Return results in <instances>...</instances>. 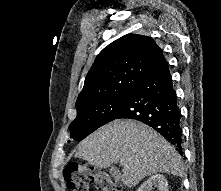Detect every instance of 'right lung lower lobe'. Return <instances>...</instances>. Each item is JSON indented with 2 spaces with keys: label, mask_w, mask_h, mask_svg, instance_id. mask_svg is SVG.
Here are the masks:
<instances>
[{
  "label": "right lung lower lobe",
  "mask_w": 221,
  "mask_h": 191,
  "mask_svg": "<svg viewBox=\"0 0 221 191\" xmlns=\"http://www.w3.org/2000/svg\"><path fill=\"white\" fill-rule=\"evenodd\" d=\"M121 118L135 119L151 126L180 154L183 153L181 113L167 62L130 91L115 117Z\"/></svg>",
  "instance_id": "98d812e1"
}]
</instances>
